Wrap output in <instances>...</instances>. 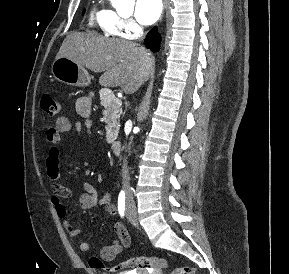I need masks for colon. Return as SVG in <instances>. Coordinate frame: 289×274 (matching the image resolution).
<instances>
[{
  "label": "colon",
  "mask_w": 289,
  "mask_h": 274,
  "mask_svg": "<svg viewBox=\"0 0 289 274\" xmlns=\"http://www.w3.org/2000/svg\"><path fill=\"white\" fill-rule=\"evenodd\" d=\"M40 107L50 117L58 115L61 110L60 102L48 94L41 97ZM89 265L91 268L100 269L105 272H118L120 270L151 272L167 268L168 262L165 259L139 256L122 261L114 266H106L101 259L92 256L89 259ZM171 274H195V269L186 265L178 266Z\"/></svg>",
  "instance_id": "1"
}]
</instances>
